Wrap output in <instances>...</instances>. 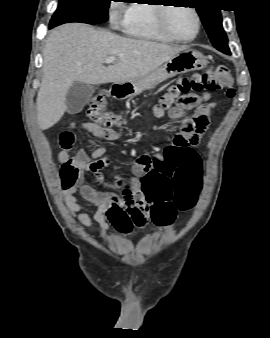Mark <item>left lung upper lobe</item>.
Masks as SVG:
<instances>
[{
	"label": "left lung upper lobe",
	"instance_id": "left-lung-upper-lobe-1",
	"mask_svg": "<svg viewBox=\"0 0 270 338\" xmlns=\"http://www.w3.org/2000/svg\"><path fill=\"white\" fill-rule=\"evenodd\" d=\"M217 0H199L196 8L213 46L223 53H229L227 36L222 26L221 12L216 8Z\"/></svg>",
	"mask_w": 270,
	"mask_h": 338
}]
</instances>
